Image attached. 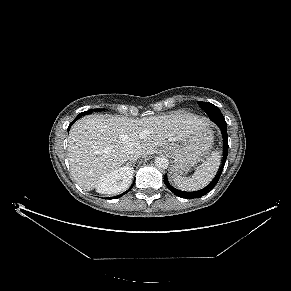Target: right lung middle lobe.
Segmentation results:
<instances>
[{
    "label": "right lung middle lobe",
    "instance_id": "obj_1",
    "mask_svg": "<svg viewBox=\"0 0 291 291\" xmlns=\"http://www.w3.org/2000/svg\"><path fill=\"white\" fill-rule=\"evenodd\" d=\"M99 109H93V110H91V111H98ZM89 113V111H85V112H82V113H80L77 117H76V119H79L82 115H85V114H88Z\"/></svg>",
    "mask_w": 291,
    "mask_h": 291
}]
</instances>
